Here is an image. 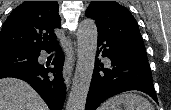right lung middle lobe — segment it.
Listing matches in <instances>:
<instances>
[{"instance_id":"obj_1","label":"right lung middle lobe","mask_w":171,"mask_h":110,"mask_svg":"<svg viewBox=\"0 0 171 110\" xmlns=\"http://www.w3.org/2000/svg\"><path fill=\"white\" fill-rule=\"evenodd\" d=\"M38 63V52L7 48L0 49V71L19 67L33 66Z\"/></svg>"}]
</instances>
